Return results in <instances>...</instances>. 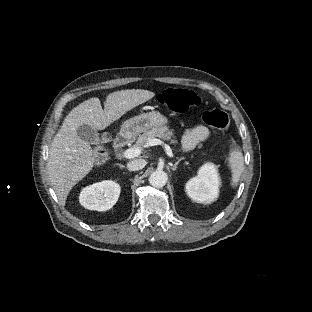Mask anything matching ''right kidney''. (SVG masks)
I'll list each match as a JSON object with an SVG mask.
<instances>
[{
	"mask_svg": "<svg viewBox=\"0 0 312 312\" xmlns=\"http://www.w3.org/2000/svg\"><path fill=\"white\" fill-rule=\"evenodd\" d=\"M120 186L113 181H102L84 188L80 204L90 210L106 211L118 200Z\"/></svg>",
	"mask_w": 312,
	"mask_h": 312,
	"instance_id": "right-kidney-1",
	"label": "right kidney"
}]
</instances>
